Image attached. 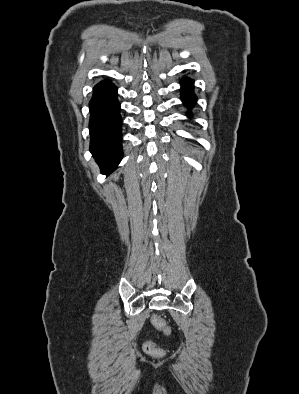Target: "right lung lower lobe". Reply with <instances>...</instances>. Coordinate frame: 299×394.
<instances>
[{"instance_id": "98d812e1", "label": "right lung lower lobe", "mask_w": 299, "mask_h": 394, "mask_svg": "<svg viewBox=\"0 0 299 394\" xmlns=\"http://www.w3.org/2000/svg\"><path fill=\"white\" fill-rule=\"evenodd\" d=\"M89 107L90 151L101 172L107 174L122 159V119L115 85L108 80L95 85Z\"/></svg>"}]
</instances>
